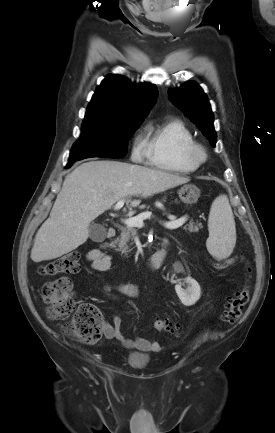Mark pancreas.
Listing matches in <instances>:
<instances>
[{
	"label": "pancreas",
	"mask_w": 275,
	"mask_h": 433,
	"mask_svg": "<svg viewBox=\"0 0 275 433\" xmlns=\"http://www.w3.org/2000/svg\"><path fill=\"white\" fill-rule=\"evenodd\" d=\"M200 228H202V224L195 223L192 220L183 227L184 230L189 231L190 233H197ZM136 233L137 229L135 227H122L120 238L115 241V243L118 245V251L127 254L130 251L128 242L130 240H134Z\"/></svg>",
	"instance_id": "pancreas-1"
}]
</instances>
